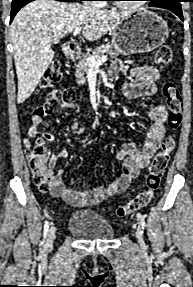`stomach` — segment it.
I'll list each match as a JSON object with an SVG mask.
<instances>
[{
	"label": "stomach",
	"instance_id": "stomach-1",
	"mask_svg": "<svg viewBox=\"0 0 193 287\" xmlns=\"http://www.w3.org/2000/svg\"><path fill=\"white\" fill-rule=\"evenodd\" d=\"M167 23L147 10H138L124 18L111 30L112 45L123 55L148 53L168 38Z\"/></svg>",
	"mask_w": 193,
	"mask_h": 287
}]
</instances>
